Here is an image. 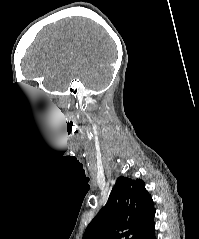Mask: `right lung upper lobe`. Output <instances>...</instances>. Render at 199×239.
<instances>
[{
	"instance_id": "cb5924a9",
	"label": "right lung upper lobe",
	"mask_w": 199,
	"mask_h": 239,
	"mask_svg": "<svg viewBox=\"0 0 199 239\" xmlns=\"http://www.w3.org/2000/svg\"><path fill=\"white\" fill-rule=\"evenodd\" d=\"M154 216V203L144 181L120 176L106 205L86 228L83 239H122L127 233L134 239Z\"/></svg>"
}]
</instances>
